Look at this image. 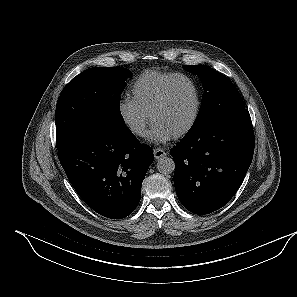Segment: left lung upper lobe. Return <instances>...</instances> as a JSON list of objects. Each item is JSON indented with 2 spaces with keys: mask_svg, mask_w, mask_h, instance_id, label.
<instances>
[{
  "mask_svg": "<svg viewBox=\"0 0 297 297\" xmlns=\"http://www.w3.org/2000/svg\"><path fill=\"white\" fill-rule=\"evenodd\" d=\"M183 68L198 75L204 89L200 111L190 130L210 124L226 113L245 108L237 88L223 74L206 65H184Z\"/></svg>",
  "mask_w": 297,
  "mask_h": 297,
  "instance_id": "left-lung-upper-lobe-1",
  "label": "left lung upper lobe"
}]
</instances>
